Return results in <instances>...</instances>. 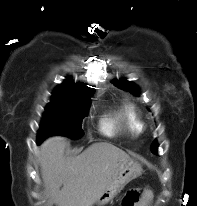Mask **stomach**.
<instances>
[{"label": "stomach", "instance_id": "1", "mask_svg": "<svg viewBox=\"0 0 197 206\" xmlns=\"http://www.w3.org/2000/svg\"><path fill=\"white\" fill-rule=\"evenodd\" d=\"M142 173L140 164L131 159H124L120 161L109 184L104 192L99 196L96 203L98 205H105L111 201L120 191L133 179L139 177Z\"/></svg>", "mask_w": 197, "mask_h": 206}]
</instances>
